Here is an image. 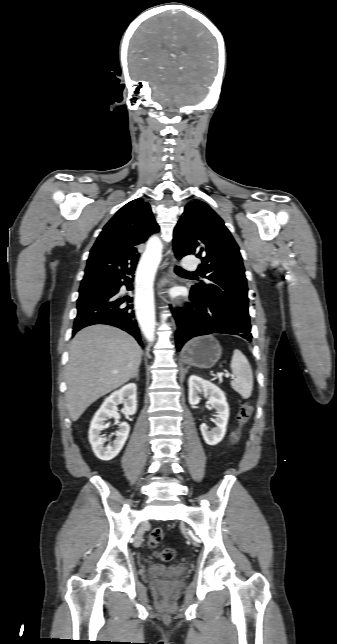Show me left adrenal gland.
<instances>
[{"label":"left adrenal gland","instance_id":"obj_1","mask_svg":"<svg viewBox=\"0 0 337 644\" xmlns=\"http://www.w3.org/2000/svg\"><path fill=\"white\" fill-rule=\"evenodd\" d=\"M187 371H188V369H185V370H184V374H186V373H187Z\"/></svg>","mask_w":337,"mask_h":644}]
</instances>
